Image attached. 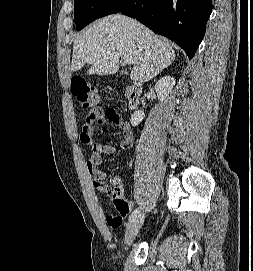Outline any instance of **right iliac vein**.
<instances>
[{
    "label": "right iliac vein",
    "instance_id": "63e3f726",
    "mask_svg": "<svg viewBox=\"0 0 253 271\" xmlns=\"http://www.w3.org/2000/svg\"><path fill=\"white\" fill-rule=\"evenodd\" d=\"M144 222V214L138 215L126 228L125 244L130 245Z\"/></svg>",
    "mask_w": 253,
    "mask_h": 271
}]
</instances>
